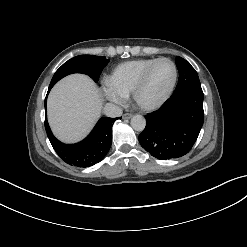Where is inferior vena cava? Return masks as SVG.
<instances>
[{"instance_id": "602c4592", "label": "inferior vena cava", "mask_w": 247, "mask_h": 247, "mask_svg": "<svg viewBox=\"0 0 247 247\" xmlns=\"http://www.w3.org/2000/svg\"><path fill=\"white\" fill-rule=\"evenodd\" d=\"M103 112L108 117H119L122 115V108L115 104L107 103L103 108Z\"/></svg>"}]
</instances>
